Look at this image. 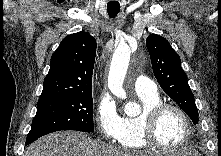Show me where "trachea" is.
I'll use <instances>...</instances> for the list:
<instances>
[{
    "label": "trachea",
    "instance_id": "3493384b",
    "mask_svg": "<svg viewBox=\"0 0 221 156\" xmlns=\"http://www.w3.org/2000/svg\"><path fill=\"white\" fill-rule=\"evenodd\" d=\"M120 11V4L117 1H111L107 4V12L109 17L114 18Z\"/></svg>",
    "mask_w": 221,
    "mask_h": 156
}]
</instances>
